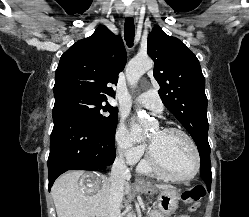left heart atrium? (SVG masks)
Listing matches in <instances>:
<instances>
[{
	"instance_id": "39dd6f15",
	"label": "left heart atrium",
	"mask_w": 249,
	"mask_h": 217,
	"mask_svg": "<svg viewBox=\"0 0 249 217\" xmlns=\"http://www.w3.org/2000/svg\"><path fill=\"white\" fill-rule=\"evenodd\" d=\"M134 136L137 139L141 138V130L137 124L134 125Z\"/></svg>"
}]
</instances>
